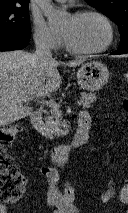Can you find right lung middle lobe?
<instances>
[{
    "label": "right lung middle lobe",
    "instance_id": "right-lung-middle-lobe-1",
    "mask_svg": "<svg viewBox=\"0 0 128 213\" xmlns=\"http://www.w3.org/2000/svg\"><path fill=\"white\" fill-rule=\"evenodd\" d=\"M29 6L5 5L0 6V37L29 38Z\"/></svg>",
    "mask_w": 128,
    "mask_h": 213
}]
</instances>
